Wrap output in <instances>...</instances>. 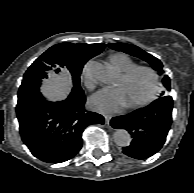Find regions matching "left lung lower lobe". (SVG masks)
Masks as SVG:
<instances>
[{
    "label": "left lung lower lobe",
    "instance_id": "0a47b994",
    "mask_svg": "<svg viewBox=\"0 0 194 193\" xmlns=\"http://www.w3.org/2000/svg\"><path fill=\"white\" fill-rule=\"evenodd\" d=\"M173 100L163 96L150 105L130 114L112 118L115 129L127 130L132 142L123 153L136 159H146L163 146L172 122Z\"/></svg>",
    "mask_w": 194,
    "mask_h": 193
}]
</instances>
